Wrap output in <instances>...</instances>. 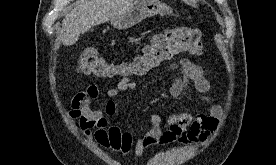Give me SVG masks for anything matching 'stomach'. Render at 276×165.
<instances>
[{
	"label": "stomach",
	"mask_w": 276,
	"mask_h": 165,
	"mask_svg": "<svg viewBox=\"0 0 276 165\" xmlns=\"http://www.w3.org/2000/svg\"><path fill=\"white\" fill-rule=\"evenodd\" d=\"M173 9L159 0H136L126 11L110 22L114 28L125 30L155 15H170Z\"/></svg>",
	"instance_id": "obj_1"
}]
</instances>
